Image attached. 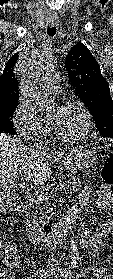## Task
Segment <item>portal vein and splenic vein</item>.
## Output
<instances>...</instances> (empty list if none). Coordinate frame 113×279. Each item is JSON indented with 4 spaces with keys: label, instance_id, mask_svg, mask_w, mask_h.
<instances>
[{
    "label": "portal vein and splenic vein",
    "instance_id": "obj_1",
    "mask_svg": "<svg viewBox=\"0 0 113 279\" xmlns=\"http://www.w3.org/2000/svg\"><path fill=\"white\" fill-rule=\"evenodd\" d=\"M21 178H23L24 177V174H22V173H20V175H19ZM31 188H33V187H31ZM33 189H35V188H33ZM41 191V189H39V190H35V192L37 193V192H40Z\"/></svg>",
    "mask_w": 113,
    "mask_h": 279
}]
</instances>
